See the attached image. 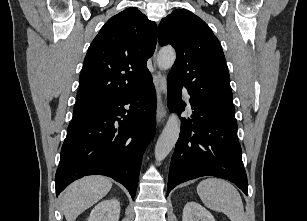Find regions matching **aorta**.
Here are the masks:
<instances>
[{
	"instance_id": "762f6f07",
	"label": "aorta",
	"mask_w": 307,
	"mask_h": 221,
	"mask_svg": "<svg viewBox=\"0 0 307 221\" xmlns=\"http://www.w3.org/2000/svg\"><path fill=\"white\" fill-rule=\"evenodd\" d=\"M175 59V50L172 47H164L158 53L157 63L161 69L168 70L173 66ZM179 134L180 121L177 115L172 113L155 146V159L157 162L164 160L171 152L179 138Z\"/></svg>"
}]
</instances>
